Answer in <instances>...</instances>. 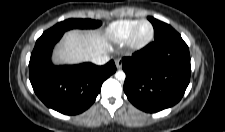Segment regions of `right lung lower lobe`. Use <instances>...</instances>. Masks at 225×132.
Listing matches in <instances>:
<instances>
[{"label":"right lung lower lobe","instance_id":"1","mask_svg":"<svg viewBox=\"0 0 225 132\" xmlns=\"http://www.w3.org/2000/svg\"><path fill=\"white\" fill-rule=\"evenodd\" d=\"M63 34L45 31L36 41L29 62L30 82L46 106L75 115L94 103L102 83L116 71V66L113 60L104 66L92 63L54 66L52 50Z\"/></svg>","mask_w":225,"mask_h":132}]
</instances>
